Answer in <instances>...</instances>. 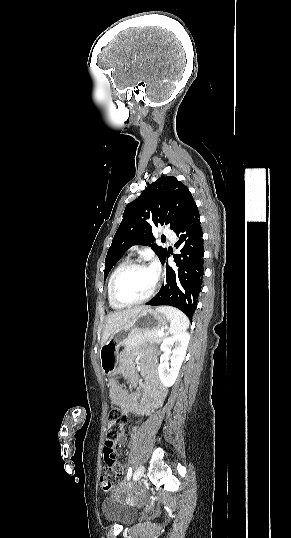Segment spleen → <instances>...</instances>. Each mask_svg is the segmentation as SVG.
<instances>
[{"mask_svg": "<svg viewBox=\"0 0 291 538\" xmlns=\"http://www.w3.org/2000/svg\"><path fill=\"white\" fill-rule=\"evenodd\" d=\"M156 310L165 314L170 321V334H179L189 327V319L181 310L171 306H159Z\"/></svg>", "mask_w": 291, "mask_h": 538, "instance_id": "3e777b00", "label": "spleen"}]
</instances>
